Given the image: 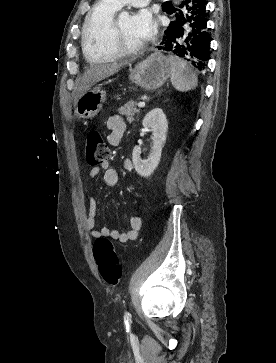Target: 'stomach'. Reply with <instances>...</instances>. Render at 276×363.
Listing matches in <instances>:
<instances>
[{"label":"stomach","instance_id":"0dacf381","mask_svg":"<svg viewBox=\"0 0 276 363\" xmlns=\"http://www.w3.org/2000/svg\"><path fill=\"white\" fill-rule=\"evenodd\" d=\"M171 76L169 58L159 52L152 53L131 69L130 80L145 90L160 88ZM106 100V92L102 85L91 87L77 100L75 112L80 118L95 117L102 109Z\"/></svg>","mask_w":276,"mask_h":363}]
</instances>
